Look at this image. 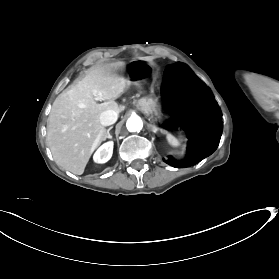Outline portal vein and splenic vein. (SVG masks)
<instances>
[{"label": "portal vein and splenic vein", "instance_id": "1", "mask_svg": "<svg viewBox=\"0 0 279 279\" xmlns=\"http://www.w3.org/2000/svg\"><path fill=\"white\" fill-rule=\"evenodd\" d=\"M92 104H95V101H92Z\"/></svg>", "mask_w": 279, "mask_h": 279}]
</instances>
